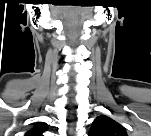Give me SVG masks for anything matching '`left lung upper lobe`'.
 Returning <instances> with one entry per match:
<instances>
[{
	"mask_svg": "<svg viewBox=\"0 0 151 136\" xmlns=\"http://www.w3.org/2000/svg\"><path fill=\"white\" fill-rule=\"evenodd\" d=\"M89 136H127L126 129L108 116H98L89 130Z\"/></svg>",
	"mask_w": 151,
	"mask_h": 136,
	"instance_id": "5c2ea615",
	"label": "left lung upper lobe"
}]
</instances>
